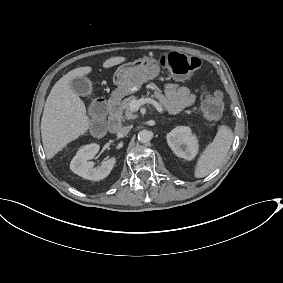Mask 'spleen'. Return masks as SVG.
Wrapping results in <instances>:
<instances>
[{"label":"spleen","instance_id":"obj_1","mask_svg":"<svg viewBox=\"0 0 283 283\" xmlns=\"http://www.w3.org/2000/svg\"><path fill=\"white\" fill-rule=\"evenodd\" d=\"M233 132L222 125L213 140L200 155L195 168V177L203 178L212 173L224 160L233 142Z\"/></svg>","mask_w":283,"mask_h":283}]
</instances>
